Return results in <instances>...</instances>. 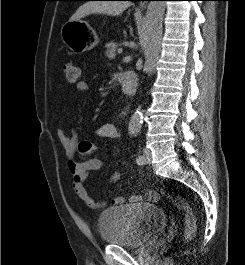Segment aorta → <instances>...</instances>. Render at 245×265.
Returning a JSON list of instances; mask_svg holds the SVG:
<instances>
[{
	"label": "aorta",
	"mask_w": 245,
	"mask_h": 265,
	"mask_svg": "<svg viewBox=\"0 0 245 265\" xmlns=\"http://www.w3.org/2000/svg\"><path fill=\"white\" fill-rule=\"evenodd\" d=\"M166 8L165 1H150L147 7L145 30L143 33V41L145 43L144 70L150 76L154 73L162 44V22ZM142 126V112L137 109L131 116L129 122V131L137 133Z\"/></svg>",
	"instance_id": "obj_1"
}]
</instances>
